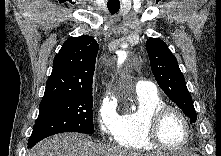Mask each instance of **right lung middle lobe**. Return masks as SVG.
I'll return each mask as SVG.
<instances>
[{
  "label": "right lung middle lobe",
  "mask_w": 221,
  "mask_h": 156,
  "mask_svg": "<svg viewBox=\"0 0 221 156\" xmlns=\"http://www.w3.org/2000/svg\"><path fill=\"white\" fill-rule=\"evenodd\" d=\"M92 107V90L70 96L43 98L28 147L57 133H94Z\"/></svg>",
  "instance_id": "obj_1"
}]
</instances>
